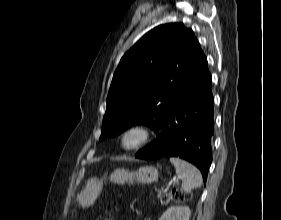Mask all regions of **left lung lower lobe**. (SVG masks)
<instances>
[{"instance_id": "0a47b994", "label": "left lung lower lobe", "mask_w": 281, "mask_h": 220, "mask_svg": "<svg viewBox=\"0 0 281 220\" xmlns=\"http://www.w3.org/2000/svg\"><path fill=\"white\" fill-rule=\"evenodd\" d=\"M206 57L179 86L173 108L164 118L157 139L135 155L140 159L180 157L197 166L206 182L212 162L214 99Z\"/></svg>"}]
</instances>
